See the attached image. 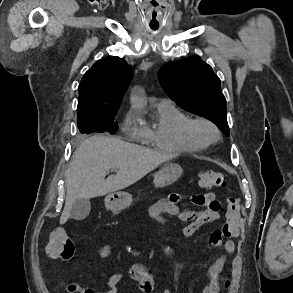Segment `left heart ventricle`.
<instances>
[{
  "label": "left heart ventricle",
  "mask_w": 293,
  "mask_h": 293,
  "mask_svg": "<svg viewBox=\"0 0 293 293\" xmlns=\"http://www.w3.org/2000/svg\"><path fill=\"white\" fill-rule=\"evenodd\" d=\"M197 134L201 137H208L211 135V132L206 126L200 125L197 127Z\"/></svg>",
  "instance_id": "left-heart-ventricle-1"
}]
</instances>
